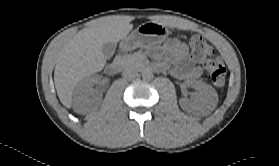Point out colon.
<instances>
[{
    "instance_id": "colon-1",
    "label": "colon",
    "mask_w": 279,
    "mask_h": 166,
    "mask_svg": "<svg viewBox=\"0 0 279 166\" xmlns=\"http://www.w3.org/2000/svg\"><path fill=\"white\" fill-rule=\"evenodd\" d=\"M194 57L203 63L208 78L216 86L225 83L226 68L220 58H207L212 53L210 47L200 36H193L190 40Z\"/></svg>"
}]
</instances>
